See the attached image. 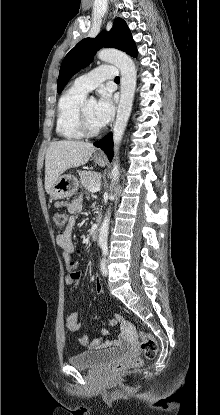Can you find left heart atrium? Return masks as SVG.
<instances>
[{
	"instance_id": "39dd6f15",
	"label": "left heart atrium",
	"mask_w": 220,
	"mask_h": 415,
	"mask_svg": "<svg viewBox=\"0 0 220 415\" xmlns=\"http://www.w3.org/2000/svg\"><path fill=\"white\" fill-rule=\"evenodd\" d=\"M94 114L101 126L107 124L112 119L114 114V105L109 91H101L100 97L95 104Z\"/></svg>"
}]
</instances>
